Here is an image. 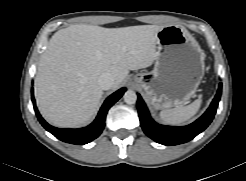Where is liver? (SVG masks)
<instances>
[{
    "label": "liver",
    "instance_id": "1",
    "mask_svg": "<svg viewBox=\"0 0 246 181\" xmlns=\"http://www.w3.org/2000/svg\"><path fill=\"white\" fill-rule=\"evenodd\" d=\"M158 25L122 28L76 24L57 31L39 62L35 98L42 116L60 128L78 127L95 115L108 72L117 88L129 70L153 64Z\"/></svg>",
    "mask_w": 246,
    "mask_h": 181
}]
</instances>
